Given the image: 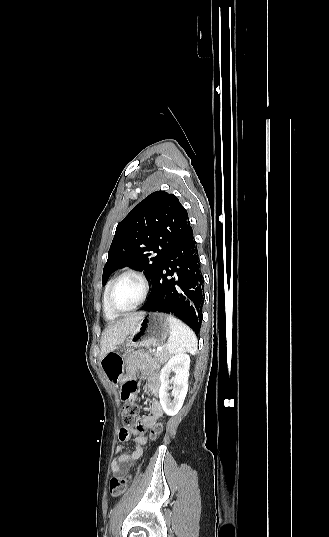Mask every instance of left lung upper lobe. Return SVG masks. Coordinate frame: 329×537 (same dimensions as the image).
Instances as JSON below:
<instances>
[{
	"instance_id": "obj_1",
	"label": "left lung upper lobe",
	"mask_w": 329,
	"mask_h": 537,
	"mask_svg": "<svg viewBox=\"0 0 329 537\" xmlns=\"http://www.w3.org/2000/svg\"><path fill=\"white\" fill-rule=\"evenodd\" d=\"M189 228L188 213L175 195L165 191L150 194L117 225L102 283L122 266L143 269L152 281L163 259Z\"/></svg>"
}]
</instances>
